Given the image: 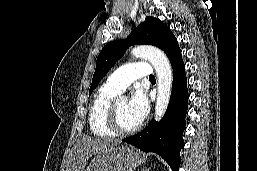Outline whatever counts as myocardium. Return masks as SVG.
<instances>
[{"label":"myocardium","mask_w":257,"mask_h":171,"mask_svg":"<svg viewBox=\"0 0 257 171\" xmlns=\"http://www.w3.org/2000/svg\"><path fill=\"white\" fill-rule=\"evenodd\" d=\"M117 103L118 101L114 100L109 105L107 124L110 130L117 135H128L137 132L141 128L142 122H139L136 126L132 128H123L120 125L117 112Z\"/></svg>","instance_id":"1"}]
</instances>
